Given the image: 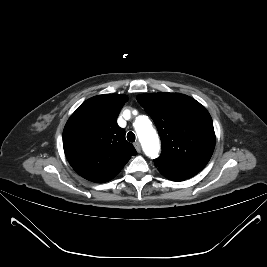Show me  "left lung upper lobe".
<instances>
[{"label":"left lung upper lobe","instance_id":"left-lung-upper-lobe-1","mask_svg":"<svg viewBox=\"0 0 267 267\" xmlns=\"http://www.w3.org/2000/svg\"><path fill=\"white\" fill-rule=\"evenodd\" d=\"M137 101L158 129L162 153L155 166L185 178L199 173L215 147L213 122L195 99L178 93L141 94Z\"/></svg>","mask_w":267,"mask_h":267}]
</instances>
